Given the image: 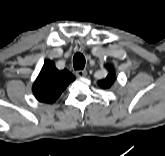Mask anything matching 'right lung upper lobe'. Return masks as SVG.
I'll return each instance as SVG.
<instances>
[{
  "label": "right lung upper lobe",
  "mask_w": 165,
  "mask_h": 156,
  "mask_svg": "<svg viewBox=\"0 0 165 156\" xmlns=\"http://www.w3.org/2000/svg\"><path fill=\"white\" fill-rule=\"evenodd\" d=\"M75 79L67 69L62 71L55 67L53 61H46L33 85V93L37 100L53 103Z\"/></svg>",
  "instance_id": "1"
}]
</instances>
